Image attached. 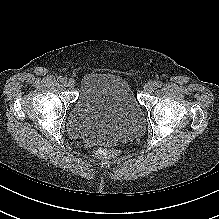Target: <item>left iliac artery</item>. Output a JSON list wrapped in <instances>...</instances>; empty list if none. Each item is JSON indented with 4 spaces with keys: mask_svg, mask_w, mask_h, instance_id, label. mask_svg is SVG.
<instances>
[{
    "mask_svg": "<svg viewBox=\"0 0 219 219\" xmlns=\"http://www.w3.org/2000/svg\"><path fill=\"white\" fill-rule=\"evenodd\" d=\"M155 86L157 88H160L162 86V82H160V81L155 82Z\"/></svg>",
    "mask_w": 219,
    "mask_h": 219,
    "instance_id": "44dca946",
    "label": "left iliac artery"
}]
</instances>
